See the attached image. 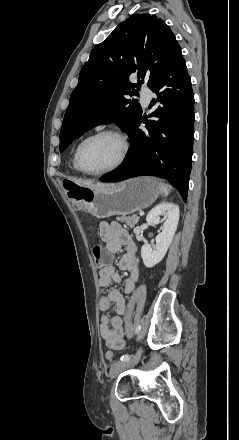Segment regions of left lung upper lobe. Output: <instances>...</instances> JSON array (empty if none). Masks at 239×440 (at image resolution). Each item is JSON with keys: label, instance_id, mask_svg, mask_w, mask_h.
<instances>
[{"label": "left lung upper lobe", "instance_id": "left-lung-upper-lobe-1", "mask_svg": "<svg viewBox=\"0 0 239 440\" xmlns=\"http://www.w3.org/2000/svg\"><path fill=\"white\" fill-rule=\"evenodd\" d=\"M178 42L166 23L150 14H135L119 24L95 46L79 75L66 110L60 151L93 126L116 123L128 132L139 120L141 108L127 96L137 94L160 74ZM135 74L137 84L129 82Z\"/></svg>", "mask_w": 239, "mask_h": 440}]
</instances>
